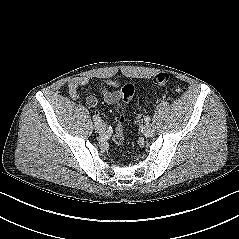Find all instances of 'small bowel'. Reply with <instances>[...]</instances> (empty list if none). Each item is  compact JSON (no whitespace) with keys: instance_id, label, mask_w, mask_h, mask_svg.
<instances>
[{"instance_id":"c3829d8e","label":"small bowel","mask_w":239,"mask_h":239,"mask_svg":"<svg viewBox=\"0 0 239 239\" xmlns=\"http://www.w3.org/2000/svg\"><path fill=\"white\" fill-rule=\"evenodd\" d=\"M89 83L90 81L87 77H76L70 80L68 86L71 97L77 98L79 89L88 86ZM118 87L119 83L116 80H107L98 85V90L106 103L118 107L121 101V93L116 90ZM86 103L89 107L94 108L98 103V99L94 95H89Z\"/></svg>"}]
</instances>
